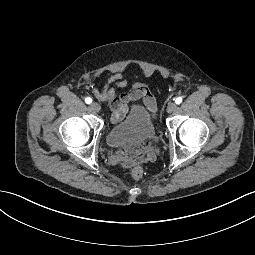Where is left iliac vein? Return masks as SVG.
<instances>
[{
	"instance_id": "obj_1",
	"label": "left iliac vein",
	"mask_w": 255,
	"mask_h": 255,
	"mask_svg": "<svg viewBox=\"0 0 255 255\" xmlns=\"http://www.w3.org/2000/svg\"><path fill=\"white\" fill-rule=\"evenodd\" d=\"M176 108H177L176 103L171 102V103H169L168 106H167V112H168V113H172L173 111L176 110Z\"/></svg>"
}]
</instances>
